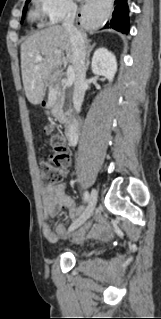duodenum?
<instances>
[{
	"label": "duodenum",
	"instance_id": "410a0bca",
	"mask_svg": "<svg viewBox=\"0 0 161 319\" xmlns=\"http://www.w3.org/2000/svg\"><path fill=\"white\" fill-rule=\"evenodd\" d=\"M44 108L48 109V105L44 104ZM66 138L70 145H75L78 137V126L75 121L69 122L66 125Z\"/></svg>",
	"mask_w": 161,
	"mask_h": 319
}]
</instances>
